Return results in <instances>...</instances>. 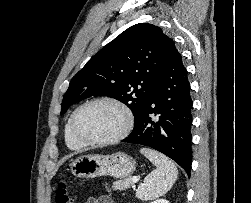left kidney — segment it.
I'll list each match as a JSON object with an SVG mask.
<instances>
[{"label": "left kidney", "mask_w": 251, "mask_h": 203, "mask_svg": "<svg viewBox=\"0 0 251 203\" xmlns=\"http://www.w3.org/2000/svg\"><path fill=\"white\" fill-rule=\"evenodd\" d=\"M151 203H169L166 199H157V200H155V201H153V202H151Z\"/></svg>", "instance_id": "obj_1"}]
</instances>
